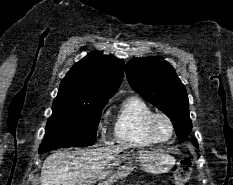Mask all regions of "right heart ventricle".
<instances>
[{
    "instance_id": "right-heart-ventricle-1",
    "label": "right heart ventricle",
    "mask_w": 233,
    "mask_h": 185,
    "mask_svg": "<svg viewBox=\"0 0 233 185\" xmlns=\"http://www.w3.org/2000/svg\"><path fill=\"white\" fill-rule=\"evenodd\" d=\"M152 108L141 98L131 96L118 108L114 118L116 141L130 147H148L157 142L148 134L146 123Z\"/></svg>"
}]
</instances>
